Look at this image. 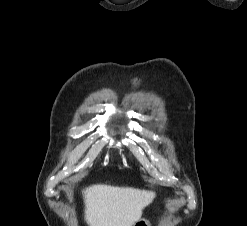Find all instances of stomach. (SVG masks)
<instances>
[{
	"label": "stomach",
	"instance_id": "0dacf381",
	"mask_svg": "<svg viewBox=\"0 0 247 226\" xmlns=\"http://www.w3.org/2000/svg\"><path fill=\"white\" fill-rule=\"evenodd\" d=\"M133 226H150V223L146 219H139Z\"/></svg>",
	"mask_w": 247,
	"mask_h": 226
}]
</instances>
